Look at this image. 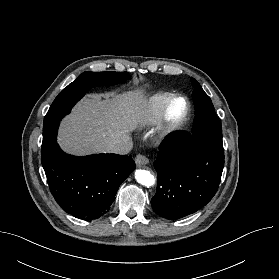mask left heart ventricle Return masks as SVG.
Here are the masks:
<instances>
[{"label": "left heart ventricle", "instance_id": "1", "mask_svg": "<svg viewBox=\"0 0 279 279\" xmlns=\"http://www.w3.org/2000/svg\"><path fill=\"white\" fill-rule=\"evenodd\" d=\"M185 111V102L181 99L176 100L173 102L169 109V119L170 120H177L179 119Z\"/></svg>", "mask_w": 279, "mask_h": 279}]
</instances>
